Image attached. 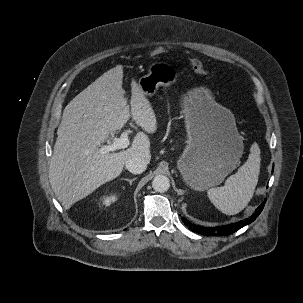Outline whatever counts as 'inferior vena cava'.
<instances>
[{"instance_id": "602c4592", "label": "inferior vena cava", "mask_w": 303, "mask_h": 303, "mask_svg": "<svg viewBox=\"0 0 303 303\" xmlns=\"http://www.w3.org/2000/svg\"><path fill=\"white\" fill-rule=\"evenodd\" d=\"M126 169L133 174H140L146 170L147 161L144 158L134 156L125 163Z\"/></svg>"}]
</instances>
